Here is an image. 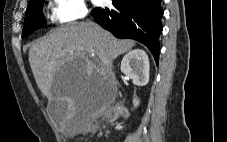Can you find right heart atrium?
Segmentation results:
<instances>
[{
  "instance_id": "1",
  "label": "right heart atrium",
  "mask_w": 227,
  "mask_h": 142,
  "mask_svg": "<svg viewBox=\"0 0 227 142\" xmlns=\"http://www.w3.org/2000/svg\"><path fill=\"white\" fill-rule=\"evenodd\" d=\"M88 8L84 0H53L52 19L58 23H70L85 19Z\"/></svg>"
}]
</instances>
